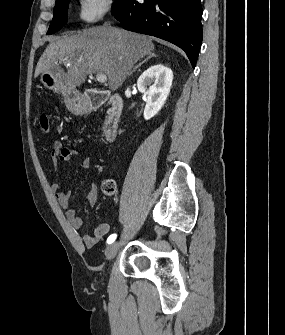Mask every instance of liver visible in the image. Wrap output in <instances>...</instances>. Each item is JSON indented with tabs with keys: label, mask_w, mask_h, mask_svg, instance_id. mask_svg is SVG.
Wrapping results in <instances>:
<instances>
[{
	"label": "liver",
	"mask_w": 285,
	"mask_h": 335,
	"mask_svg": "<svg viewBox=\"0 0 285 335\" xmlns=\"http://www.w3.org/2000/svg\"><path fill=\"white\" fill-rule=\"evenodd\" d=\"M153 50L154 44L147 36L112 26H98L77 32L75 36L50 40L36 66L35 76L51 70L61 78L58 62H62L67 66V74L61 80L68 88L74 90L84 84L88 74H105L110 90L116 92L134 64Z\"/></svg>",
	"instance_id": "liver-1"
}]
</instances>
